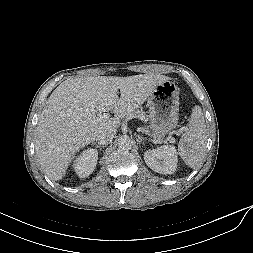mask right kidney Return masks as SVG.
I'll return each instance as SVG.
<instances>
[{"label": "right kidney", "instance_id": "1", "mask_svg": "<svg viewBox=\"0 0 253 253\" xmlns=\"http://www.w3.org/2000/svg\"><path fill=\"white\" fill-rule=\"evenodd\" d=\"M98 152L95 149H86L74 160L73 168L81 178L88 177L95 169Z\"/></svg>", "mask_w": 253, "mask_h": 253}]
</instances>
